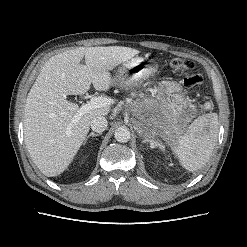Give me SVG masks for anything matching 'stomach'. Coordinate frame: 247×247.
<instances>
[{
    "label": "stomach",
    "mask_w": 247,
    "mask_h": 247,
    "mask_svg": "<svg viewBox=\"0 0 247 247\" xmlns=\"http://www.w3.org/2000/svg\"><path fill=\"white\" fill-rule=\"evenodd\" d=\"M157 68L156 62L136 56L118 68L114 84L136 86L153 76ZM153 97L139 101V107L134 112L136 119H133L136 131L146 140L176 138L175 130L180 127L188 105L182 86L175 81H162L155 87Z\"/></svg>",
    "instance_id": "1"
}]
</instances>
